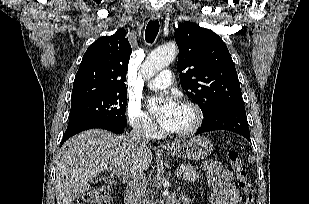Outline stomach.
Masks as SVG:
<instances>
[{"mask_svg": "<svg viewBox=\"0 0 309 204\" xmlns=\"http://www.w3.org/2000/svg\"><path fill=\"white\" fill-rule=\"evenodd\" d=\"M213 151L212 142L204 136L191 137L182 144H177L166 154L171 157L200 160L207 158Z\"/></svg>", "mask_w": 309, "mask_h": 204, "instance_id": "0dacf381", "label": "stomach"}]
</instances>
